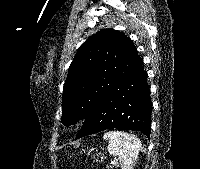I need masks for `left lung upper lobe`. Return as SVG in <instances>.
<instances>
[{
    "mask_svg": "<svg viewBox=\"0 0 200 169\" xmlns=\"http://www.w3.org/2000/svg\"><path fill=\"white\" fill-rule=\"evenodd\" d=\"M141 64L132 41L120 31L104 29L88 38L69 67L63 88L62 124L70 126L85 119Z\"/></svg>",
    "mask_w": 200,
    "mask_h": 169,
    "instance_id": "5c2ea615",
    "label": "left lung upper lobe"
}]
</instances>
